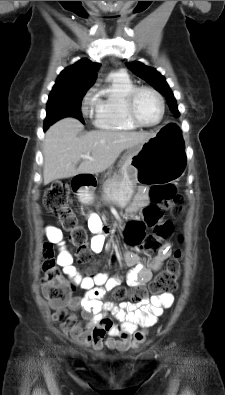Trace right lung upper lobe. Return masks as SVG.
<instances>
[{
  "label": "right lung upper lobe",
  "mask_w": 225,
  "mask_h": 395,
  "mask_svg": "<svg viewBox=\"0 0 225 395\" xmlns=\"http://www.w3.org/2000/svg\"><path fill=\"white\" fill-rule=\"evenodd\" d=\"M99 67V63H93L88 59H82L72 66L65 68L58 76L53 88H90L96 80Z\"/></svg>",
  "instance_id": "1"
}]
</instances>
